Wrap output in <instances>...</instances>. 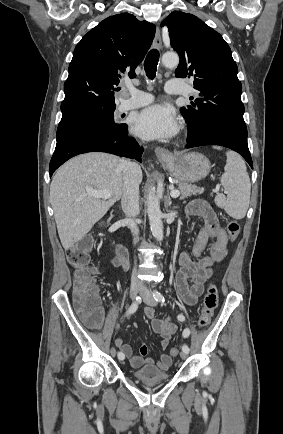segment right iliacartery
I'll return each instance as SVG.
<instances>
[{
    "mask_svg": "<svg viewBox=\"0 0 283 434\" xmlns=\"http://www.w3.org/2000/svg\"><path fill=\"white\" fill-rule=\"evenodd\" d=\"M140 302H141V298L139 296H137L135 301L131 304V306L126 311L125 316H129V315L133 314L137 310ZM118 359L119 360L124 359L123 354H121L120 352H118Z\"/></svg>",
    "mask_w": 283,
    "mask_h": 434,
    "instance_id": "1",
    "label": "right iliac artery"
}]
</instances>
